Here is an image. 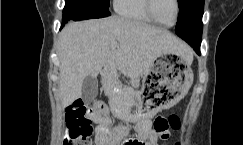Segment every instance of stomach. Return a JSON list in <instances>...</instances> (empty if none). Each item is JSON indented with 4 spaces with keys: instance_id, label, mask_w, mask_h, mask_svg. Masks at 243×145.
Listing matches in <instances>:
<instances>
[{
    "instance_id": "stomach-1",
    "label": "stomach",
    "mask_w": 243,
    "mask_h": 145,
    "mask_svg": "<svg viewBox=\"0 0 243 145\" xmlns=\"http://www.w3.org/2000/svg\"><path fill=\"white\" fill-rule=\"evenodd\" d=\"M192 54H164L155 60L151 69L143 76L139 94H121L122 88L112 79L104 81L110 103L116 107L114 116L125 121L136 122L141 118L156 116L160 110L179 102L193 83L191 69Z\"/></svg>"
}]
</instances>
